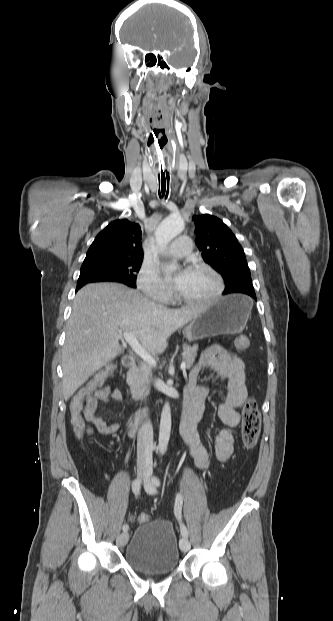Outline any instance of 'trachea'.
I'll use <instances>...</instances> for the list:
<instances>
[{
    "mask_svg": "<svg viewBox=\"0 0 333 621\" xmlns=\"http://www.w3.org/2000/svg\"><path fill=\"white\" fill-rule=\"evenodd\" d=\"M169 174L159 176V197L167 199L169 192Z\"/></svg>",
    "mask_w": 333,
    "mask_h": 621,
    "instance_id": "3493384b",
    "label": "trachea"
}]
</instances>
